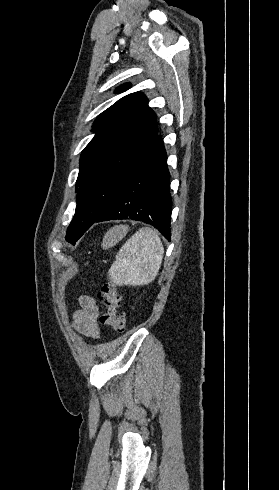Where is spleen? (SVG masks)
<instances>
[{
    "mask_svg": "<svg viewBox=\"0 0 279 490\" xmlns=\"http://www.w3.org/2000/svg\"><path fill=\"white\" fill-rule=\"evenodd\" d=\"M128 226H114L105 234L103 250L120 242ZM164 254L163 244L153 228H140L116 256L109 270L111 282L116 286H148L155 280Z\"/></svg>",
    "mask_w": 279,
    "mask_h": 490,
    "instance_id": "3e777b00",
    "label": "spleen"
}]
</instances>
